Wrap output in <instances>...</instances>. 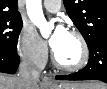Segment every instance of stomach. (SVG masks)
I'll return each instance as SVG.
<instances>
[{"label":"stomach","mask_w":107,"mask_h":89,"mask_svg":"<svg viewBox=\"0 0 107 89\" xmlns=\"http://www.w3.org/2000/svg\"><path fill=\"white\" fill-rule=\"evenodd\" d=\"M48 89H81V87L80 85H76V84L60 83V84L51 86Z\"/></svg>","instance_id":"obj_1"}]
</instances>
